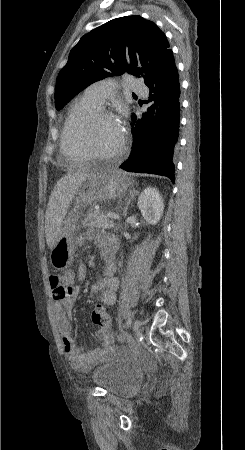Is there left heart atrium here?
Listing matches in <instances>:
<instances>
[{"mask_svg": "<svg viewBox=\"0 0 245 450\" xmlns=\"http://www.w3.org/2000/svg\"><path fill=\"white\" fill-rule=\"evenodd\" d=\"M119 125H120V128H121V130H122V125L119 123Z\"/></svg>", "mask_w": 245, "mask_h": 450, "instance_id": "39dd6f15", "label": "left heart atrium"}]
</instances>
